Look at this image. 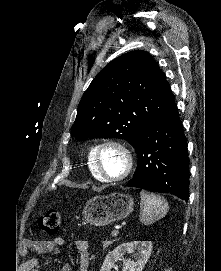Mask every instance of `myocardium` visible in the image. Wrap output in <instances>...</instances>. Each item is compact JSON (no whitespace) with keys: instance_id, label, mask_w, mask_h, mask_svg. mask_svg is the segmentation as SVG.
Instances as JSON below:
<instances>
[{"instance_id":"myocardium-1","label":"myocardium","mask_w":221,"mask_h":271,"mask_svg":"<svg viewBox=\"0 0 221 271\" xmlns=\"http://www.w3.org/2000/svg\"><path fill=\"white\" fill-rule=\"evenodd\" d=\"M99 140H104L101 142V145H94V153L96 156H92L94 159V169L97 171V175H103L104 178H110V183H117V178H126L132 171V166L134 163L132 162L133 158H130V153L132 150H124V142H116V140H125L119 137H104ZM107 150V151H106ZM109 150H118L117 156L119 159L116 161L118 164H122L125 167V170L118 175L107 176L106 172L103 170V164L101 158L104 155H109L111 152Z\"/></svg>"}]
</instances>
